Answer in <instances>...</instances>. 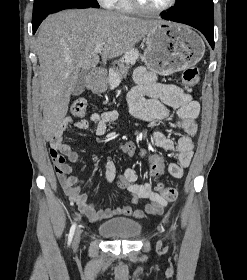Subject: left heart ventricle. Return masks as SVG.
I'll return each instance as SVG.
<instances>
[{
    "label": "left heart ventricle",
    "mask_w": 247,
    "mask_h": 280,
    "mask_svg": "<svg viewBox=\"0 0 247 280\" xmlns=\"http://www.w3.org/2000/svg\"><path fill=\"white\" fill-rule=\"evenodd\" d=\"M140 2L149 8H159L166 5L169 0H140Z\"/></svg>",
    "instance_id": "left-heart-ventricle-1"
}]
</instances>
